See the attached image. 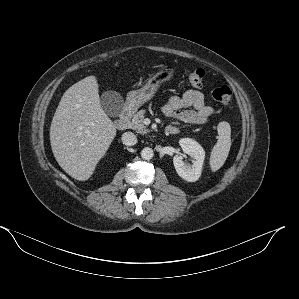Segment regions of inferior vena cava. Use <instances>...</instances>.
I'll use <instances>...</instances> for the list:
<instances>
[{
  "label": "inferior vena cava",
  "instance_id": "obj_1",
  "mask_svg": "<svg viewBox=\"0 0 299 299\" xmlns=\"http://www.w3.org/2000/svg\"><path fill=\"white\" fill-rule=\"evenodd\" d=\"M122 143L126 146H133L137 143V137L132 132H125L121 137Z\"/></svg>",
  "mask_w": 299,
  "mask_h": 299
}]
</instances>
